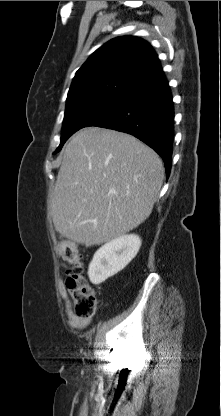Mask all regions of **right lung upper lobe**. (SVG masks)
I'll return each instance as SVG.
<instances>
[{
    "label": "right lung upper lobe",
    "mask_w": 221,
    "mask_h": 416,
    "mask_svg": "<svg viewBox=\"0 0 221 416\" xmlns=\"http://www.w3.org/2000/svg\"><path fill=\"white\" fill-rule=\"evenodd\" d=\"M164 79L151 45L135 36H122L97 49L76 72L67 101L101 90L132 93Z\"/></svg>",
    "instance_id": "1"
}]
</instances>
